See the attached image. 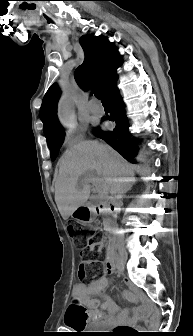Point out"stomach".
<instances>
[{"mask_svg": "<svg viewBox=\"0 0 193 336\" xmlns=\"http://www.w3.org/2000/svg\"><path fill=\"white\" fill-rule=\"evenodd\" d=\"M71 216L82 224H88L94 220V212L92 208L86 205L76 208Z\"/></svg>", "mask_w": 193, "mask_h": 336, "instance_id": "1", "label": "stomach"}]
</instances>
